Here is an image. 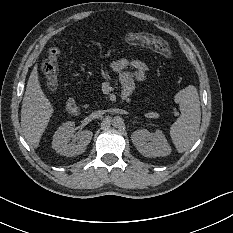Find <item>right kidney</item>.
Returning a JSON list of instances; mask_svg holds the SVG:
<instances>
[{"label":"right kidney","instance_id":"ca27d5eb","mask_svg":"<svg viewBox=\"0 0 233 233\" xmlns=\"http://www.w3.org/2000/svg\"><path fill=\"white\" fill-rule=\"evenodd\" d=\"M75 123L68 121L58 128L53 135L52 148L57 153L72 157L85 152L87 145L90 143L93 133L89 130H83L76 134L77 143H69L74 136Z\"/></svg>","mask_w":233,"mask_h":233}]
</instances>
